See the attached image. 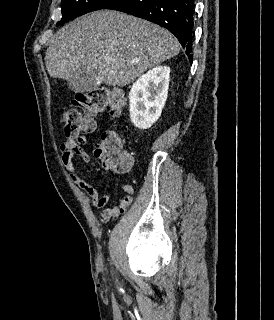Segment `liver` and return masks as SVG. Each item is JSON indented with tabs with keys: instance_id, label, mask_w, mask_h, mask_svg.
<instances>
[{
	"instance_id": "1",
	"label": "liver",
	"mask_w": 274,
	"mask_h": 320,
	"mask_svg": "<svg viewBox=\"0 0 274 320\" xmlns=\"http://www.w3.org/2000/svg\"><path fill=\"white\" fill-rule=\"evenodd\" d=\"M179 52L177 38L165 28L123 12L99 10L60 28L44 60L51 78H64L68 86L79 74L97 72L96 80L123 88Z\"/></svg>"
}]
</instances>
